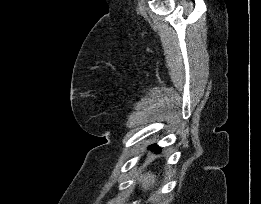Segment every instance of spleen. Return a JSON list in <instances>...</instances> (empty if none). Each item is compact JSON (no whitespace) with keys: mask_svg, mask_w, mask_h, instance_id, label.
I'll return each mask as SVG.
<instances>
[{"mask_svg":"<svg viewBox=\"0 0 261 204\" xmlns=\"http://www.w3.org/2000/svg\"><path fill=\"white\" fill-rule=\"evenodd\" d=\"M139 181L142 185V188L144 190H148L149 187L153 186L155 184V181H156V176L153 175L152 173H147L145 175H142L140 178H139Z\"/></svg>","mask_w":261,"mask_h":204,"instance_id":"obj_1","label":"spleen"}]
</instances>
